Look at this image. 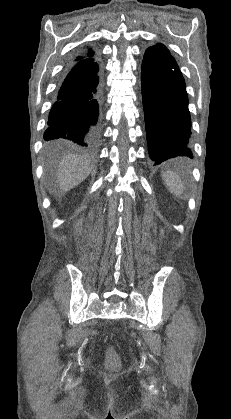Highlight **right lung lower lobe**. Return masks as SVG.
Instances as JSON below:
<instances>
[{
    "mask_svg": "<svg viewBox=\"0 0 231 419\" xmlns=\"http://www.w3.org/2000/svg\"><path fill=\"white\" fill-rule=\"evenodd\" d=\"M92 58L71 62L51 108L45 140L63 139L94 148L99 137L101 88Z\"/></svg>",
    "mask_w": 231,
    "mask_h": 419,
    "instance_id": "right-lung-lower-lobe-1",
    "label": "right lung lower lobe"
}]
</instances>
